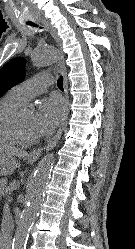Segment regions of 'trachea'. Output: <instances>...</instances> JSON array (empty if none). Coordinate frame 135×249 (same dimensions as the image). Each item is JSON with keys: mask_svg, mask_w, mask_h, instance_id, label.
<instances>
[{"mask_svg": "<svg viewBox=\"0 0 135 249\" xmlns=\"http://www.w3.org/2000/svg\"><path fill=\"white\" fill-rule=\"evenodd\" d=\"M28 25L35 26L34 23H28ZM57 86L60 90H63V77H60L57 81Z\"/></svg>", "mask_w": 135, "mask_h": 249, "instance_id": "3493384b", "label": "trachea"}]
</instances>
